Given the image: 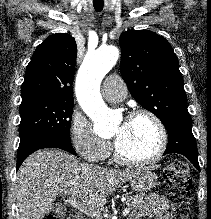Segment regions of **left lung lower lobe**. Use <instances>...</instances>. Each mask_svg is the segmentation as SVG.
Instances as JSON below:
<instances>
[{
	"instance_id": "1",
	"label": "left lung lower lobe",
	"mask_w": 211,
	"mask_h": 219,
	"mask_svg": "<svg viewBox=\"0 0 211 219\" xmlns=\"http://www.w3.org/2000/svg\"><path fill=\"white\" fill-rule=\"evenodd\" d=\"M168 145L164 152L182 154L200 171L196 140L191 130V119L178 120L167 129Z\"/></svg>"
}]
</instances>
